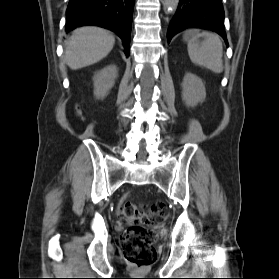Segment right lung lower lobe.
Wrapping results in <instances>:
<instances>
[{
	"mask_svg": "<svg viewBox=\"0 0 279 279\" xmlns=\"http://www.w3.org/2000/svg\"><path fill=\"white\" fill-rule=\"evenodd\" d=\"M135 0H70L66 11V31L96 25L114 31L123 41L129 56Z\"/></svg>",
	"mask_w": 279,
	"mask_h": 279,
	"instance_id": "1",
	"label": "right lung lower lobe"
}]
</instances>
